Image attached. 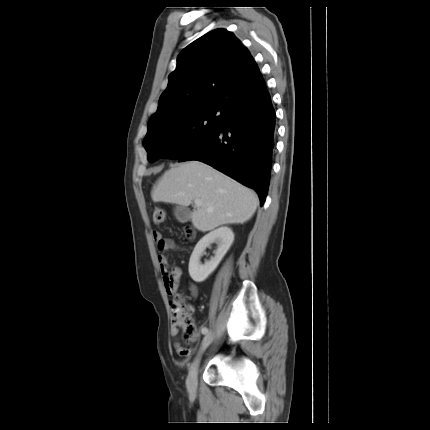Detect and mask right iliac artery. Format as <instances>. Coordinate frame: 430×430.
<instances>
[{"mask_svg": "<svg viewBox=\"0 0 430 430\" xmlns=\"http://www.w3.org/2000/svg\"><path fill=\"white\" fill-rule=\"evenodd\" d=\"M202 335H207L208 334V330H202Z\"/></svg>", "mask_w": 430, "mask_h": 430, "instance_id": "1", "label": "right iliac artery"}]
</instances>
